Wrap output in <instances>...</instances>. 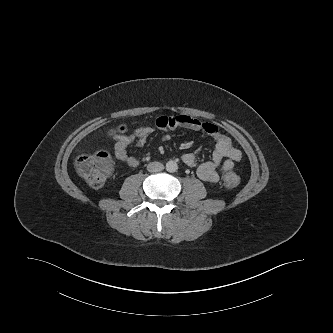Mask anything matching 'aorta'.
I'll return each instance as SVG.
<instances>
[{"label":"aorta","mask_w":333,"mask_h":333,"mask_svg":"<svg viewBox=\"0 0 333 333\" xmlns=\"http://www.w3.org/2000/svg\"><path fill=\"white\" fill-rule=\"evenodd\" d=\"M178 169V165L175 161L170 160L166 163V170L170 173L175 172Z\"/></svg>","instance_id":"obj_1"}]
</instances>
